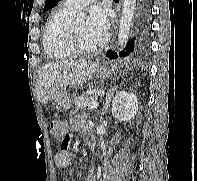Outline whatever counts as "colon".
<instances>
[{"label":"colon","mask_w":197,"mask_h":181,"mask_svg":"<svg viewBox=\"0 0 197 181\" xmlns=\"http://www.w3.org/2000/svg\"><path fill=\"white\" fill-rule=\"evenodd\" d=\"M49 131L52 135L56 136V137H59L61 136V129H62V125L60 122L58 121H52L50 124H49ZM67 146H68V143H67V140L66 138H64L62 140V143H61V149H67Z\"/></svg>","instance_id":"obj_1"}]
</instances>
